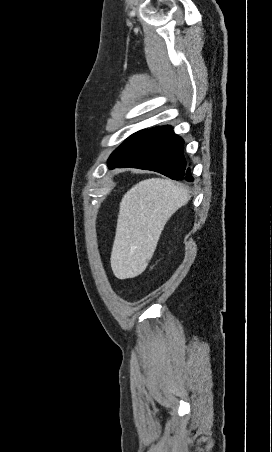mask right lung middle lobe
Here are the masks:
<instances>
[{
    "instance_id": "1",
    "label": "right lung middle lobe",
    "mask_w": 272,
    "mask_h": 452,
    "mask_svg": "<svg viewBox=\"0 0 272 452\" xmlns=\"http://www.w3.org/2000/svg\"><path fill=\"white\" fill-rule=\"evenodd\" d=\"M147 130H141L132 134L122 145H120L108 159V166L117 162L145 133Z\"/></svg>"
}]
</instances>
